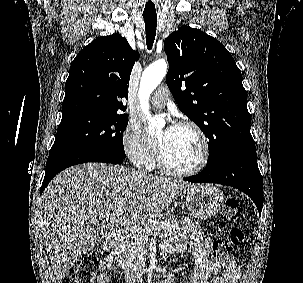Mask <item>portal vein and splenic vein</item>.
<instances>
[{
    "label": "portal vein and splenic vein",
    "instance_id": "obj_1",
    "mask_svg": "<svg viewBox=\"0 0 303 283\" xmlns=\"http://www.w3.org/2000/svg\"><path fill=\"white\" fill-rule=\"evenodd\" d=\"M109 219H110V222H112L114 224H119V225L124 226V227H128L130 225H134V226L139 225L136 222H133V221H130V220L124 219V218H119V217H116L114 215H111L109 217ZM148 232L153 233V234H158L160 232V228L155 227V228L149 229Z\"/></svg>",
    "mask_w": 303,
    "mask_h": 283
}]
</instances>
